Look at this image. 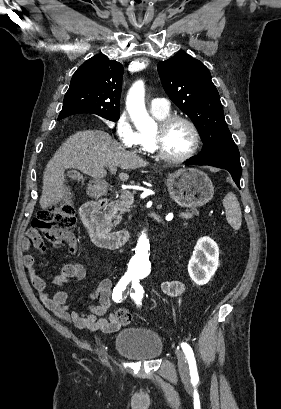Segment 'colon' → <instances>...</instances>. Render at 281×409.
I'll return each mask as SVG.
<instances>
[{
  "label": "colon",
  "mask_w": 281,
  "mask_h": 409,
  "mask_svg": "<svg viewBox=\"0 0 281 409\" xmlns=\"http://www.w3.org/2000/svg\"><path fill=\"white\" fill-rule=\"evenodd\" d=\"M75 221V207L70 200H67L38 212L33 227L39 233L41 239L55 246H64V234L74 227ZM129 314V306H118L115 319L120 323L127 324L131 321Z\"/></svg>",
  "instance_id": "5ec220e1"
}]
</instances>
